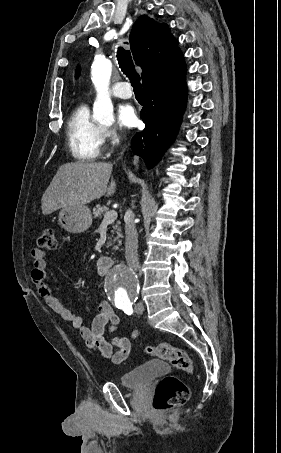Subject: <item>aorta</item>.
Returning <instances> with one entry per match:
<instances>
[{
    "mask_svg": "<svg viewBox=\"0 0 281 453\" xmlns=\"http://www.w3.org/2000/svg\"><path fill=\"white\" fill-rule=\"evenodd\" d=\"M112 63L106 58H97L91 66L92 82L97 95L93 105L94 120L103 124L114 121L113 104L109 94ZM105 293L117 306H124L138 293L137 275L131 268L115 266L105 277Z\"/></svg>",
    "mask_w": 281,
    "mask_h": 453,
    "instance_id": "762f6f07",
    "label": "aorta"
}]
</instances>
